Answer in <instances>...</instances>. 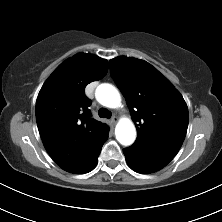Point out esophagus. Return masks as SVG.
Instances as JSON below:
<instances>
[{"label": "esophagus", "instance_id": "esophagus-1", "mask_svg": "<svg viewBox=\"0 0 222 222\" xmlns=\"http://www.w3.org/2000/svg\"><path fill=\"white\" fill-rule=\"evenodd\" d=\"M117 121H118V118H117L116 116H113V117L111 118V122H112L113 124H115Z\"/></svg>", "mask_w": 222, "mask_h": 222}]
</instances>
